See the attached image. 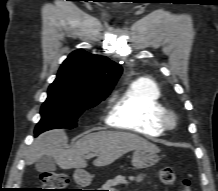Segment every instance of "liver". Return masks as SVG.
<instances>
[{
    "mask_svg": "<svg viewBox=\"0 0 218 191\" xmlns=\"http://www.w3.org/2000/svg\"><path fill=\"white\" fill-rule=\"evenodd\" d=\"M67 135L64 130H52L37 137L26 156V164L31 165L42 156H50L62 169L85 168L84 156L95 153L97 167L107 166L132 150H152L159 148L146 139L127 132L99 131L85 135L74 146L66 148Z\"/></svg>",
    "mask_w": 218,
    "mask_h": 191,
    "instance_id": "liver-1",
    "label": "liver"
}]
</instances>
